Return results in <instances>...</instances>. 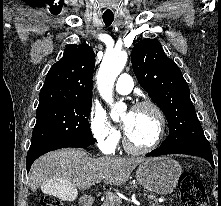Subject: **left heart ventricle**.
Wrapping results in <instances>:
<instances>
[{"mask_svg": "<svg viewBox=\"0 0 221 206\" xmlns=\"http://www.w3.org/2000/svg\"><path fill=\"white\" fill-rule=\"evenodd\" d=\"M128 122L126 135L131 144L143 147L151 143L157 134L158 123L154 112L148 108L131 111L122 117Z\"/></svg>", "mask_w": 221, "mask_h": 206, "instance_id": "1", "label": "left heart ventricle"}]
</instances>
